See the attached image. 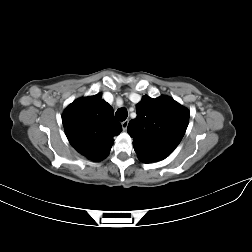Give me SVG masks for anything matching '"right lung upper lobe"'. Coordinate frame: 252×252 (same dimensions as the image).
<instances>
[{
  "label": "right lung upper lobe",
  "mask_w": 252,
  "mask_h": 252,
  "mask_svg": "<svg viewBox=\"0 0 252 252\" xmlns=\"http://www.w3.org/2000/svg\"><path fill=\"white\" fill-rule=\"evenodd\" d=\"M62 122L75 150L98 162L109 155L113 137L122 131L113 108L101 99L100 93L71 103L63 113Z\"/></svg>",
  "instance_id": "cb5924a9"
}]
</instances>
